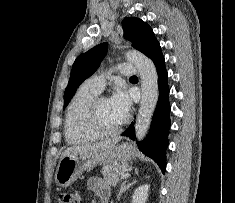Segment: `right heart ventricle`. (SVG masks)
<instances>
[{
	"instance_id": "obj_1",
	"label": "right heart ventricle",
	"mask_w": 235,
	"mask_h": 203,
	"mask_svg": "<svg viewBox=\"0 0 235 203\" xmlns=\"http://www.w3.org/2000/svg\"><path fill=\"white\" fill-rule=\"evenodd\" d=\"M99 93L85 82L70 101L64 125V136L69 144H84L99 138L91 131L87 122L89 105Z\"/></svg>"
}]
</instances>
